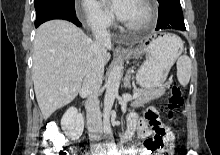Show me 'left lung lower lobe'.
<instances>
[{
  "instance_id": "1",
  "label": "left lung lower lobe",
  "mask_w": 220,
  "mask_h": 155,
  "mask_svg": "<svg viewBox=\"0 0 220 155\" xmlns=\"http://www.w3.org/2000/svg\"><path fill=\"white\" fill-rule=\"evenodd\" d=\"M177 29L184 31L185 24L180 0L159 3V17L156 30Z\"/></svg>"
}]
</instances>
